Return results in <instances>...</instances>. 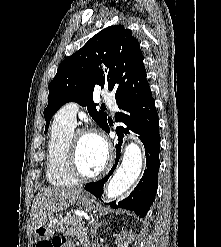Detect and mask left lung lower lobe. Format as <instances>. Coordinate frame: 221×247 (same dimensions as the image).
Segmentation results:
<instances>
[{
	"instance_id": "obj_1",
	"label": "left lung lower lobe",
	"mask_w": 221,
	"mask_h": 247,
	"mask_svg": "<svg viewBox=\"0 0 221 247\" xmlns=\"http://www.w3.org/2000/svg\"><path fill=\"white\" fill-rule=\"evenodd\" d=\"M120 112L116 113L117 122H122L123 126L117 128L118 145H116V161L109 174L102 180L88 183L85 189L101 199L103 185L115 170L119 157L120 146L123 134L133 132L139 135L145 147L146 167L144 175L131 194L119 203L111 202L112 208H124L136 213L140 217H145L152 205L158 186V171L160 166V135L159 121L151 92L145 96L132 98L122 103H117ZM111 125V122L108 120ZM105 127L107 133L110 132L109 125Z\"/></svg>"
}]
</instances>
